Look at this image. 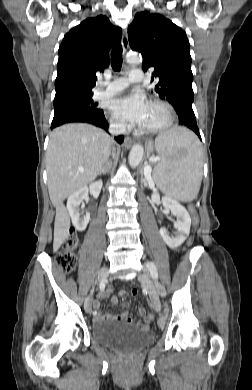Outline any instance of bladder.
Returning a JSON list of instances; mask_svg holds the SVG:
<instances>
[{
  "label": "bladder",
  "instance_id": "31cf9c89",
  "mask_svg": "<svg viewBox=\"0 0 252 390\" xmlns=\"http://www.w3.org/2000/svg\"><path fill=\"white\" fill-rule=\"evenodd\" d=\"M91 338L102 346L127 354L137 352L154 341L151 331L115 321L94 323Z\"/></svg>",
  "mask_w": 252,
  "mask_h": 390
}]
</instances>
